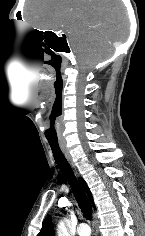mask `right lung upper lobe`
Here are the masks:
<instances>
[{
  "mask_svg": "<svg viewBox=\"0 0 145 236\" xmlns=\"http://www.w3.org/2000/svg\"><path fill=\"white\" fill-rule=\"evenodd\" d=\"M79 182L82 185V187L84 188V190L86 191L91 202L93 203V197H92V194H91L86 182L84 181L83 178H79ZM93 207L95 208L94 203H93ZM54 234H55V232L52 227L51 217L49 216L43 221L42 229H41L40 233L38 234V236H54Z\"/></svg>",
  "mask_w": 145,
  "mask_h": 236,
  "instance_id": "right-lung-upper-lobe-1",
  "label": "right lung upper lobe"
}]
</instances>
